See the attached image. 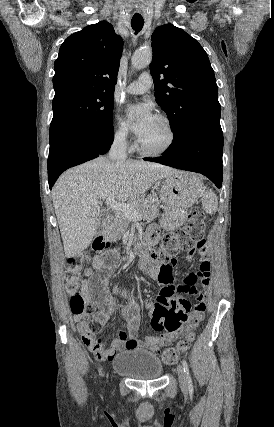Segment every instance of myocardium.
<instances>
[{
    "mask_svg": "<svg viewBox=\"0 0 274 427\" xmlns=\"http://www.w3.org/2000/svg\"><path fill=\"white\" fill-rule=\"evenodd\" d=\"M155 118H157L159 121H161L165 127L167 128L168 132H169V141L168 143L160 150L158 151H152V150H148L145 147H143L140 144L139 139L137 140L136 143V149L139 153H141L143 156L145 157H149V158H159V157H163L166 154H168L171 149L174 147L176 141H177V132L176 129L172 123V121L170 120V118H168L167 116L163 115V114H156Z\"/></svg>",
    "mask_w": 274,
    "mask_h": 427,
    "instance_id": "f54148a6",
    "label": "myocardium"
}]
</instances>
